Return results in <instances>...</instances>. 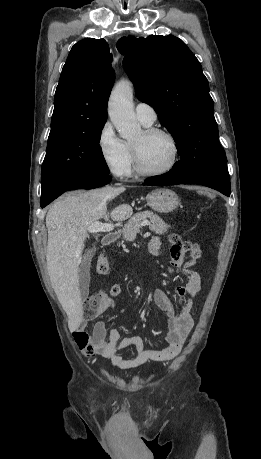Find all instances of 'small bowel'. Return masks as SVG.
<instances>
[{"instance_id":"small-bowel-1","label":"small bowel","mask_w":261,"mask_h":459,"mask_svg":"<svg viewBox=\"0 0 261 459\" xmlns=\"http://www.w3.org/2000/svg\"><path fill=\"white\" fill-rule=\"evenodd\" d=\"M163 247L164 244L155 236L150 241L149 251L152 254H157ZM167 250L171 263L166 267V270L173 272L176 269H181L187 283L185 286L175 289L176 295L180 298L178 306L174 305L164 290L157 288L153 293L154 302L167 320L168 332L164 337L165 346L159 350H145L143 340L139 336L121 338L118 330L107 331L104 321H98L89 331L86 322L81 321L73 329V338L77 348L86 357L98 356L108 360L118 370H129L148 362L171 361L179 355L193 327L192 300L201 288L200 274L193 267L200 256V250L184 244L176 236L171 238ZM121 290L122 286L119 283L111 286L107 293V303L101 313L112 307V299L119 295ZM127 347L135 348L136 353L133 358L125 359L117 354L119 350Z\"/></svg>"}]
</instances>
